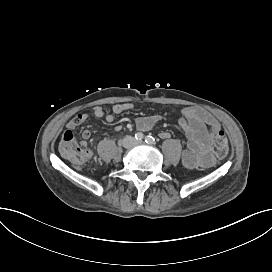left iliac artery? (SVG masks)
<instances>
[{
	"label": "left iliac artery",
	"mask_w": 272,
	"mask_h": 272,
	"mask_svg": "<svg viewBox=\"0 0 272 272\" xmlns=\"http://www.w3.org/2000/svg\"><path fill=\"white\" fill-rule=\"evenodd\" d=\"M145 142L147 144H151V145H155L156 144L155 138L152 137V136H150V135H148V136L145 137Z\"/></svg>",
	"instance_id": "44dca946"
}]
</instances>
